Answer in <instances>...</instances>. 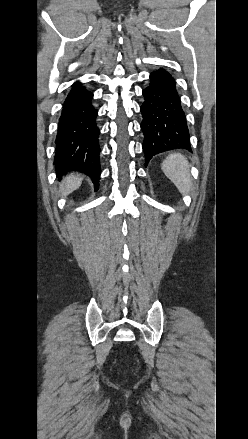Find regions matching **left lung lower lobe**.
Returning <instances> with one entry per match:
<instances>
[{
    "mask_svg": "<svg viewBox=\"0 0 248 439\" xmlns=\"http://www.w3.org/2000/svg\"><path fill=\"white\" fill-rule=\"evenodd\" d=\"M149 78L140 107L146 166L158 153L178 148L191 151L186 116L174 78L164 69L152 72Z\"/></svg>",
    "mask_w": 248,
    "mask_h": 439,
    "instance_id": "0a47b994",
    "label": "left lung lower lobe"
}]
</instances>
